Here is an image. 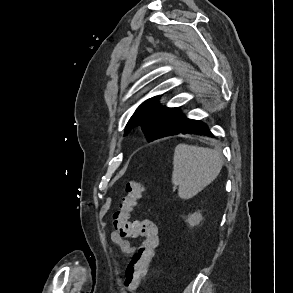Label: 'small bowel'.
<instances>
[{
	"mask_svg": "<svg viewBox=\"0 0 293 293\" xmlns=\"http://www.w3.org/2000/svg\"><path fill=\"white\" fill-rule=\"evenodd\" d=\"M110 238L113 243L119 246L120 250L125 254H132L135 250V246L132 242L122 237L117 231H113L110 234Z\"/></svg>",
	"mask_w": 293,
	"mask_h": 293,
	"instance_id": "obj_1",
	"label": "small bowel"
}]
</instances>
